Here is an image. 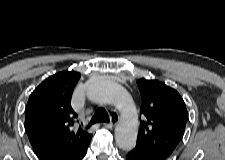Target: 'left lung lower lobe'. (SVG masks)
<instances>
[{
  "instance_id": "left-lung-lower-lobe-1",
  "label": "left lung lower lobe",
  "mask_w": 225,
  "mask_h": 160,
  "mask_svg": "<svg viewBox=\"0 0 225 160\" xmlns=\"http://www.w3.org/2000/svg\"><path fill=\"white\" fill-rule=\"evenodd\" d=\"M126 160H155V159L133 149L127 153Z\"/></svg>"
}]
</instances>
